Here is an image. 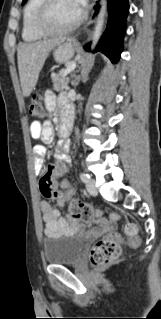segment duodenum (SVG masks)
I'll return each mask as SVG.
<instances>
[{
  "label": "duodenum",
  "mask_w": 161,
  "mask_h": 319,
  "mask_svg": "<svg viewBox=\"0 0 161 319\" xmlns=\"http://www.w3.org/2000/svg\"><path fill=\"white\" fill-rule=\"evenodd\" d=\"M72 130V122L70 117H63L61 124H60V129L59 133L62 137H67Z\"/></svg>",
  "instance_id": "410a0bca"
}]
</instances>
